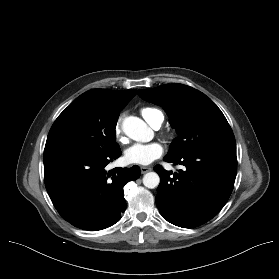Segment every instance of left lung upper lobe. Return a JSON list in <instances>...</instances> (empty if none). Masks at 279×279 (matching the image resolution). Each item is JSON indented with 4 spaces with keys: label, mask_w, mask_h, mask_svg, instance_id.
Listing matches in <instances>:
<instances>
[{
    "label": "left lung upper lobe",
    "mask_w": 279,
    "mask_h": 279,
    "mask_svg": "<svg viewBox=\"0 0 279 279\" xmlns=\"http://www.w3.org/2000/svg\"><path fill=\"white\" fill-rule=\"evenodd\" d=\"M139 96L161 105L176 137L167 155L176 157L213 145H236L234 134L217 105L202 92L183 84L139 90Z\"/></svg>",
    "instance_id": "left-lung-upper-lobe-1"
}]
</instances>
